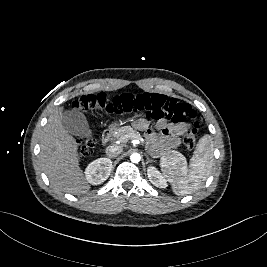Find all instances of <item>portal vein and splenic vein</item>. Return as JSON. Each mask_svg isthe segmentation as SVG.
<instances>
[{
    "instance_id": "portal-vein-and-splenic-vein-1",
    "label": "portal vein and splenic vein",
    "mask_w": 267,
    "mask_h": 267,
    "mask_svg": "<svg viewBox=\"0 0 267 267\" xmlns=\"http://www.w3.org/2000/svg\"><path fill=\"white\" fill-rule=\"evenodd\" d=\"M129 139H136L137 143H140L139 140L143 141V139H139V138H137L135 136H131V135H125V136L121 137L120 141L121 142H127Z\"/></svg>"
}]
</instances>
